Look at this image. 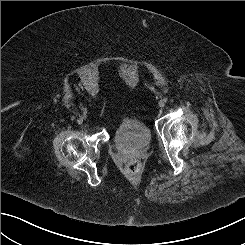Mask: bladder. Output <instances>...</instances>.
<instances>
[{
	"instance_id": "bladder-1",
	"label": "bladder",
	"mask_w": 245,
	"mask_h": 245,
	"mask_svg": "<svg viewBox=\"0 0 245 245\" xmlns=\"http://www.w3.org/2000/svg\"><path fill=\"white\" fill-rule=\"evenodd\" d=\"M112 140L124 152L134 151L150 144L151 132L142 120L123 118L114 129Z\"/></svg>"
}]
</instances>
